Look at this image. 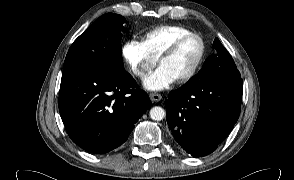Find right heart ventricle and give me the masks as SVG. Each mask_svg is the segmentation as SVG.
Here are the masks:
<instances>
[{
	"label": "right heart ventricle",
	"mask_w": 294,
	"mask_h": 180,
	"mask_svg": "<svg viewBox=\"0 0 294 180\" xmlns=\"http://www.w3.org/2000/svg\"><path fill=\"white\" fill-rule=\"evenodd\" d=\"M189 32L181 25H163L141 32L139 38L144 49L158 59L176 38Z\"/></svg>",
	"instance_id": "obj_1"
}]
</instances>
